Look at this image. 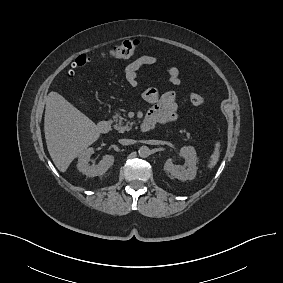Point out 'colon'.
I'll return each instance as SVG.
<instances>
[{
  "label": "colon",
  "mask_w": 283,
  "mask_h": 283,
  "mask_svg": "<svg viewBox=\"0 0 283 283\" xmlns=\"http://www.w3.org/2000/svg\"><path fill=\"white\" fill-rule=\"evenodd\" d=\"M139 47V42L137 40H125L120 44L114 46L107 53H103V58L112 59H126L134 55ZM92 62L90 56L82 54L78 56L72 64L73 68H83ZM190 101L193 105L201 106L205 104V99L198 93H191Z\"/></svg>",
  "instance_id": "1"
}]
</instances>
